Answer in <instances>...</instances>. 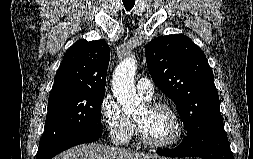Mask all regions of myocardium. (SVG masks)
<instances>
[{
  "label": "myocardium",
  "mask_w": 253,
  "mask_h": 159,
  "mask_svg": "<svg viewBox=\"0 0 253 159\" xmlns=\"http://www.w3.org/2000/svg\"><path fill=\"white\" fill-rule=\"evenodd\" d=\"M147 106H148V108H152V109H164V110L168 111L173 116V118L176 122V127H177L176 134L169 141H165V142L152 141L146 137L140 124L135 119L134 120L135 121V129H136V134H137L138 140L145 146L158 148V149H166V148H170V147H173L176 144H178L184 136L185 125H184V122H183L181 116L177 112V110L173 106H171L170 104L165 103V102H161V101L149 102L147 104Z\"/></svg>",
  "instance_id": "f54148a6"
}]
</instances>
